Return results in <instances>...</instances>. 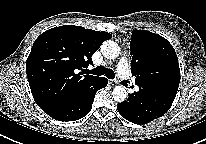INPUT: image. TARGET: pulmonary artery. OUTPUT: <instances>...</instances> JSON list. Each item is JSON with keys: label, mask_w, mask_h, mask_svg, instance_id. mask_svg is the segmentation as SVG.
Returning <instances> with one entry per match:
<instances>
[{"label": "pulmonary artery", "mask_w": 206, "mask_h": 144, "mask_svg": "<svg viewBox=\"0 0 206 144\" xmlns=\"http://www.w3.org/2000/svg\"><path fill=\"white\" fill-rule=\"evenodd\" d=\"M118 73L120 77L127 79L129 78V66L126 58H122L118 65Z\"/></svg>", "instance_id": "1"}]
</instances>
